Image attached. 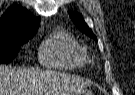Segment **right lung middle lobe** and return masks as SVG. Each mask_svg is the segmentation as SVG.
I'll list each match as a JSON object with an SVG mask.
<instances>
[{
  "mask_svg": "<svg viewBox=\"0 0 135 95\" xmlns=\"http://www.w3.org/2000/svg\"><path fill=\"white\" fill-rule=\"evenodd\" d=\"M36 32H12L0 35V64L11 62L18 54L20 46L31 39Z\"/></svg>",
  "mask_w": 135,
  "mask_h": 95,
  "instance_id": "dd1d6c3e",
  "label": "right lung middle lobe"
}]
</instances>
